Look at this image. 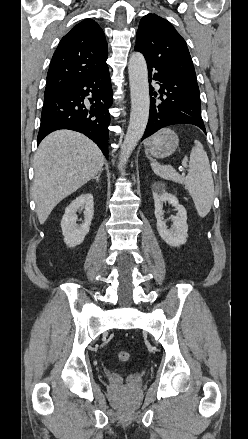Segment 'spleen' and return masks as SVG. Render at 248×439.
Instances as JSON below:
<instances>
[{
  "instance_id": "1",
  "label": "spleen",
  "mask_w": 248,
  "mask_h": 439,
  "mask_svg": "<svg viewBox=\"0 0 248 439\" xmlns=\"http://www.w3.org/2000/svg\"><path fill=\"white\" fill-rule=\"evenodd\" d=\"M194 144L187 176H181L171 165H160L151 161V166L154 173L161 178L183 184L194 201L198 215L205 217L213 204L214 182L206 151L199 141L195 140Z\"/></svg>"
}]
</instances>
